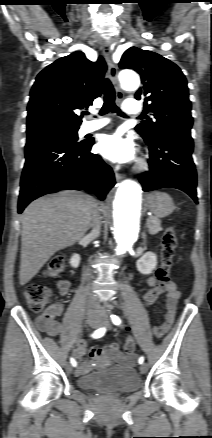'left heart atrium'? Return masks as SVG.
<instances>
[{
    "label": "left heart atrium",
    "instance_id": "1",
    "mask_svg": "<svg viewBox=\"0 0 212 438\" xmlns=\"http://www.w3.org/2000/svg\"><path fill=\"white\" fill-rule=\"evenodd\" d=\"M97 150L103 157L115 163H128L135 155L134 144L121 133L102 135Z\"/></svg>",
    "mask_w": 212,
    "mask_h": 438
}]
</instances>
